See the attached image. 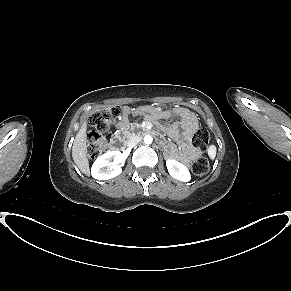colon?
<instances>
[{
    "mask_svg": "<svg viewBox=\"0 0 291 291\" xmlns=\"http://www.w3.org/2000/svg\"><path fill=\"white\" fill-rule=\"evenodd\" d=\"M123 114V109L119 106L106 107L95 114L90 119L91 130L88 131V155L96 158L110 150L109 140L104 135L109 131L112 125L117 122ZM209 132L206 128H199L193 134L191 143L194 148L205 149L209 143ZM192 170L197 175H204L209 170L208 159L201 155L197 157L193 164Z\"/></svg>",
    "mask_w": 291,
    "mask_h": 291,
    "instance_id": "1",
    "label": "colon"
}]
</instances>
